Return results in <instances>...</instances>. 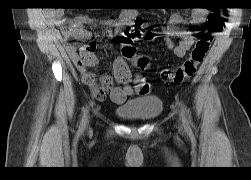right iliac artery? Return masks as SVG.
<instances>
[{
  "instance_id": "right-iliac-artery-1",
  "label": "right iliac artery",
  "mask_w": 251,
  "mask_h": 180,
  "mask_svg": "<svg viewBox=\"0 0 251 180\" xmlns=\"http://www.w3.org/2000/svg\"><path fill=\"white\" fill-rule=\"evenodd\" d=\"M87 113H88V108L86 107L83 109L82 113L81 128H83V126L85 125Z\"/></svg>"
}]
</instances>
